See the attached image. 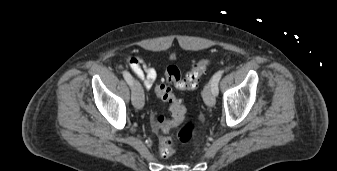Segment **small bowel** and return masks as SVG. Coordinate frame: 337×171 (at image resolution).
Instances as JSON below:
<instances>
[{"instance_id":"c3829d8e","label":"small bowel","mask_w":337,"mask_h":171,"mask_svg":"<svg viewBox=\"0 0 337 171\" xmlns=\"http://www.w3.org/2000/svg\"><path fill=\"white\" fill-rule=\"evenodd\" d=\"M128 64L135 75L143 82L146 90H150L158 78L156 69L147 64L140 56L129 58Z\"/></svg>"}]
</instances>
